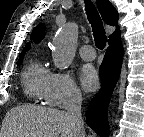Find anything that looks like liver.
<instances>
[{"label":"liver","mask_w":144,"mask_h":137,"mask_svg":"<svg viewBox=\"0 0 144 137\" xmlns=\"http://www.w3.org/2000/svg\"><path fill=\"white\" fill-rule=\"evenodd\" d=\"M66 111L22 105L9 110L2 122L0 137H75Z\"/></svg>","instance_id":"1"}]
</instances>
